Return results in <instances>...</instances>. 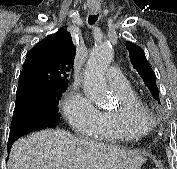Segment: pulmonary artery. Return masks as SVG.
<instances>
[{
    "label": "pulmonary artery",
    "instance_id": "pulmonary-artery-1",
    "mask_svg": "<svg viewBox=\"0 0 177 169\" xmlns=\"http://www.w3.org/2000/svg\"><path fill=\"white\" fill-rule=\"evenodd\" d=\"M106 78L113 91H122L130 87L129 81L117 66H112L107 70Z\"/></svg>",
    "mask_w": 177,
    "mask_h": 169
}]
</instances>
